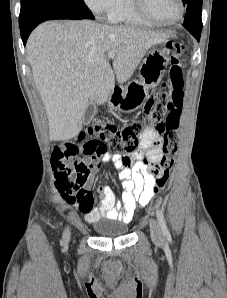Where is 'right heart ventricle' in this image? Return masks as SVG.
Segmentation results:
<instances>
[{
	"label": "right heart ventricle",
	"mask_w": 227,
	"mask_h": 298,
	"mask_svg": "<svg viewBox=\"0 0 227 298\" xmlns=\"http://www.w3.org/2000/svg\"><path fill=\"white\" fill-rule=\"evenodd\" d=\"M108 21L128 26H150L133 10L131 0H117L115 7L107 14Z\"/></svg>",
	"instance_id": "1"
}]
</instances>
